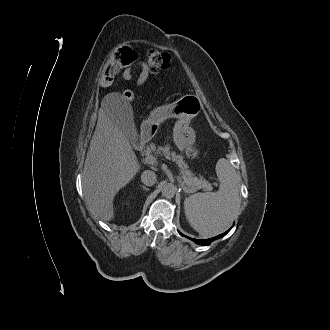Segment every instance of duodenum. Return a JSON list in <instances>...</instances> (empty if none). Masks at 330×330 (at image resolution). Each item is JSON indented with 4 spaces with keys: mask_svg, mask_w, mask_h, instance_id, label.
Listing matches in <instances>:
<instances>
[{
    "mask_svg": "<svg viewBox=\"0 0 330 330\" xmlns=\"http://www.w3.org/2000/svg\"><path fill=\"white\" fill-rule=\"evenodd\" d=\"M147 139H148V134L142 133L141 135H139L134 139V143L137 148H142Z\"/></svg>",
    "mask_w": 330,
    "mask_h": 330,
    "instance_id": "duodenum-1",
    "label": "duodenum"
}]
</instances>
